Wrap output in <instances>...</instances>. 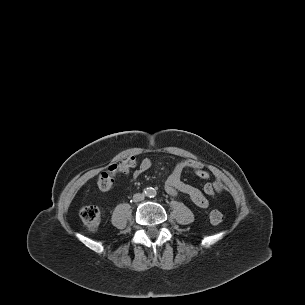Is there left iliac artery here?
<instances>
[{
  "label": "left iliac artery",
  "mask_w": 305,
  "mask_h": 305,
  "mask_svg": "<svg viewBox=\"0 0 305 305\" xmlns=\"http://www.w3.org/2000/svg\"><path fill=\"white\" fill-rule=\"evenodd\" d=\"M155 195H156V191H152V197H154Z\"/></svg>",
  "instance_id": "44dca946"
}]
</instances>
